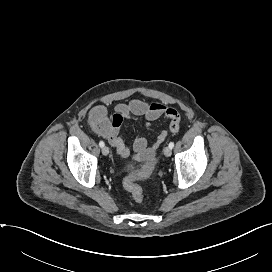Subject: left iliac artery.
I'll return each instance as SVG.
<instances>
[{
    "instance_id": "obj_1",
    "label": "left iliac artery",
    "mask_w": 272,
    "mask_h": 272,
    "mask_svg": "<svg viewBox=\"0 0 272 272\" xmlns=\"http://www.w3.org/2000/svg\"><path fill=\"white\" fill-rule=\"evenodd\" d=\"M169 147L172 149L174 147V142H170Z\"/></svg>"
}]
</instances>
